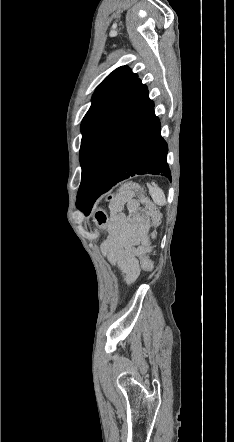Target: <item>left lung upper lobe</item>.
Wrapping results in <instances>:
<instances>
[{"label":"left lung upper lobe","instance_id":"obj_1","mask_svg":"<svg viewBox=\"0 0 234 442\" xmlns=\"http://www.w3.org/2000/svg\"><path fill=\"white\" fill-rule=\"evenodd\" d=\"M137 79V74L127 66H122L111 72L97 87L92 97V105L81 124L80 159L91 134L118 105Z\"/></svg>","mask_w":234,"mask_h":442}]
</instances>
